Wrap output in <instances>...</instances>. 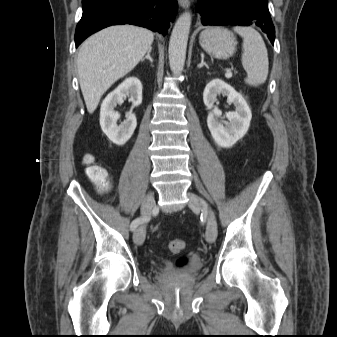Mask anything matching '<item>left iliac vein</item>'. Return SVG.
Masks as SVG:
<instances>
[{
    "mask_svg": "<svg viewBox=\"0 0 337 337\" xmlns=\"http://www.w3.org/2000/svg\"><path fill=\"white\" fill-rule=\"evenodd\" d=\"M187 196L189 198L188 205L194 211H204L207 215V227H206V240L209 243H213L217 237V222L212 210L208 205L196 194L188 192Z\"/></svg>",
    "mask_w": 337,
    "mask_h": 337,
    "instance_id": "left-iliac-vein-1",
    "label": "left iliac vein"
}]
</instances>
